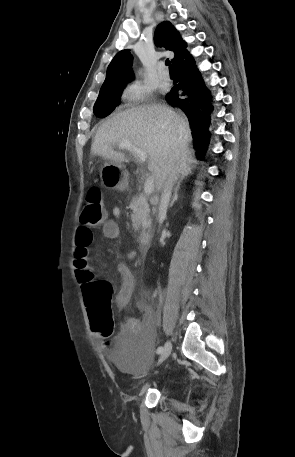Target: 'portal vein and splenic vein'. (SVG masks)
Listing matches in <instances>:
<instances>
[{"instance_id": "obj_1", "label": "portal vein and splenic vein", "mask_w": 295, "mask_h": 457, "mask_svg": "<svg viewBox=\"0 0 295 457\" xmlns=\"http://www.w3.org/2000/svg\"><path fill=\"white\" fill-rule=\"evenodd\" d=\"M119 148L121 149H127L131 152H133L137 157L140 158L141 161L145 162L147 159V154L142 151L141 149L137 148L135 145H133L129 141H123L118 144ZM154 176L150 175L147 177L145 183H144V192L146 195H150L154 191Z\"/></svg>"}]
</instances>
